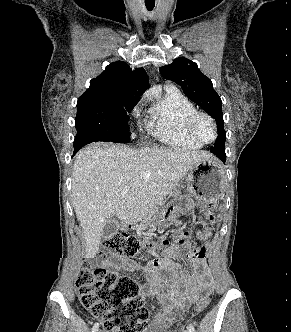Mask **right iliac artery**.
<instances>
[{
  "label": "right iliac artery",
  "mask_w": 291,
  "mask_h": 332,
  "mask_svg": "<svg viewBox=\"0 0 291 332\" xmlns=\"http://www.w3.org/2000/svg\"><path fill=\"white\" fill-rule=\"evenodd\" d=\"M98 328H99V324L95 323L93 328H92V332H97Z\"/></svg>",
  "instance_id": "obj_1"
}]
</instances>
